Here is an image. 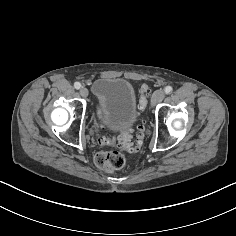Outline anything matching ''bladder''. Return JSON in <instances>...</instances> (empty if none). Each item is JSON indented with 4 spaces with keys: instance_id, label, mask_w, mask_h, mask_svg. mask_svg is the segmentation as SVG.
Returning a JSON list of instances; mask_svg holds the SVG:
<instances>
[{
    "instance_id": "31cf9c89",
    "label": "bladder",
    "mask_w": 236,
    "mask_h": 236,
    "mask_svg": "<svg viewBox=\"0 0 236 236\" xmlns=\"http://www.w3.org/2000/svg\"><path fill=\"white\" fill-rule=\"evenodd\" d=\"M97 113L117 130H128L137 119V100L133 86L125 79L104 77L93 85Z\"/></svg>"
}]
</instances>
